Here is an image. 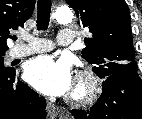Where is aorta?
I'll return each mask as SVG.
<instances>
[{
  "label": "aorta",
  "mask_w": 142,
  "mask_h": 119,
  "mask_svg": "<svg viewBox=\"0 0 142 119\" xmlns=\"http://www.w3.org/2000/svg\"><path fill=\"white\" fill-rule=\"evenodd\" d=\"M54 18L59 23H69L73 19V13L65 6L59 7L54 13Z\"/></svg>",
  "instance_id": "1"
}]
</instances>
